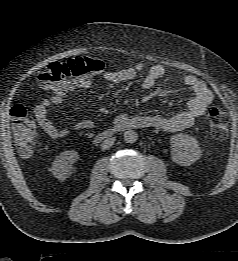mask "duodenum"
Wrapping results in <instances>:
<instances>
[{
    "label": "duodenum",
    "instance_id": "obj_1",
    "mask_svg": "<svg viewBox=\"0 0 238 261\" xmlns=\"http://www.w3.org/2000/svg\"><path fill=\"white\" fill-rule=\"evenodd\" d=\"M118 130H123V129L120 128V127L114 126V128H110V129H107L105 131H102L95 136V141L100 142V141H103L105 139H108L114 134L115 131H118Z\"/></svg>",
    "mask_w": 238,
    "mask_h": 261
}]
</instances>
